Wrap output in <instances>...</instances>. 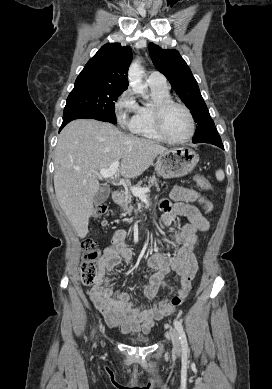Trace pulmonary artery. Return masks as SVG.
Listing matches in <instances>:
<instances>
[{
	"label": "pulmonary artery",
	"mask_w": 272,
	"mask_h": 389,
	"mask_svg": "<svg viewBox=\"0 0 272 389\" xmlns=\"http://www.w3.org/2000/svg\"><path fill=\"white\" fill-rule=\"evenodd\" d=\"M146 82L151 87L168 89L166 79L158 72H150L147 76Z\"/></svg>",
	"instance_id": "pulmonary-artery-1"
}]
</instances>
